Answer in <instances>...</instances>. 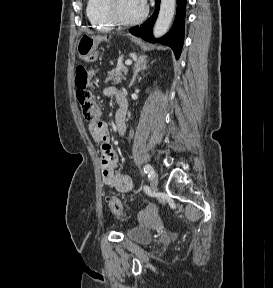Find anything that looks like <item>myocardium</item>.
Listing matches in <instances>:
<instances>
[{
  "mask_svg": "<svg viewBox=\"0 0 273 288\" xmlns=\"http://www.w3.org/2000/svg\"><path fill=\"white\" fill-rule=\"evenodd\" d=\"M117 0H104L103 9L105 17L117 26H133L141 23L148 14V7L144 5V10L140 16L134 19H122L116 12Z\"/></svg>",
  "mask_w": 273,
  "mask_h": 288,
  "instance_id": "f54148a6",
  "label": "myocardium"
}]
</instances>
